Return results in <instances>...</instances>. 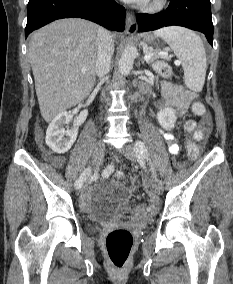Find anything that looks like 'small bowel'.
I'll list each match as a JSON object with an SVG mask.
<instances>
[{
  "mask_svg": "<svg viewBox=\"0 0 233 284\" xmlns=\"http://www.w3.org/2000/svg\"><path fill=\"white\" fill-rule=\"evenodd\" d=\"M162 91L166 98L164 105L175 108L180 114L186 112L191 102L195 98V95L192 92L186 91L179 85L168 82H164L162 84ZM187 123L194 124L195 129L193 130V137L198 140H201L208 133L211 124L210 117L208 115L202 117L199 127H197V124L194 121L189 120ZM160 132L163 133V137L168 143L170 153L177 154L179 151V146L176 142L175 135L172 133L163 132L162 130H160ZM52 163L55 166H60L63 161L60 158H54Z\"/></svg>",
  "mask_w": 233,
  "mask_h": 284,
  "instance_id": "small-bowel-1",
  "label": "small bowel"
}]
</instances>
